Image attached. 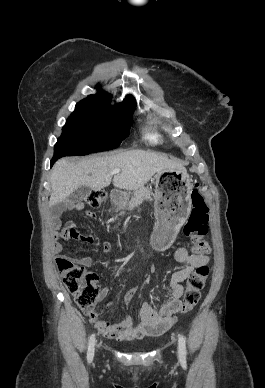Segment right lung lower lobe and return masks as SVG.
<instances>
[{
  "mask_svg": "<svg viewBox=\"0 0 265 388\" xmlns=\"http://www.w3.org/2000/svg\"><path fill=\"white\" fill-rule=\"evenodd\" d=\"M59 157L57 156H54L51 160V166L54 164V162L58 159Z\"/></svg>",
  "mask_w": 265,
  "mask_h": 388,
  "instance_id": "1",
  "label": "right lung lower lobe"
}]
</instances>
